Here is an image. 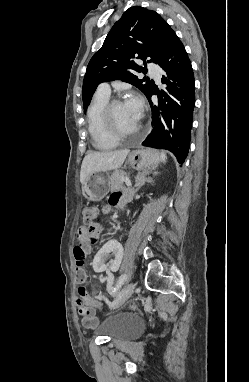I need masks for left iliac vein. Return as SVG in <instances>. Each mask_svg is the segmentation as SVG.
<instances>
[{
  "instance_id": "4c4485c4",
  "label": "left iliac vein",
  "mask_w": 249,
  "mask_h": 382,
  "mask_svg": "<svg viewBox=\"0 0 249 382\" xmlns=\"http://www.w3.org/2000/svg\"><path fill=\"white\" fill-rule=\"evenodd\" d=\"M135 289L134 283L127 284L119 293L117 298L114 300V302L111 304V309H117L120 306H122L128 298L133 294Z\"/></svg>"
}]
</instances>
